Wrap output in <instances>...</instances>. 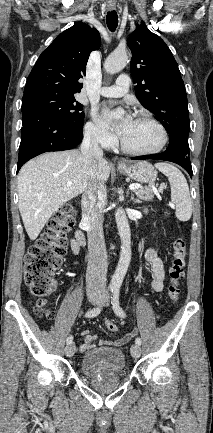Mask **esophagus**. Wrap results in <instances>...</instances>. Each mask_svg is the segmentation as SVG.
Listing matches in <instances>:
<instances>
[{
  "label": "esophagus",
  "mask_w": 213,
  "mask_h": 433,
  "mask_svg": "<svg viewBox=\"0 0 213 433\" xmlns=\"http://www.w3.org/2000/svg\"><path fill=\"white\" fill-rule=\"evenodd\" d=\"M108 9L109 10H114L115 9V5L114 4H109L108 5ZM118 166H123L124 165V163L122 162V161H118Z\"/></svg>",
  "instance_id": "esophagus-1"
}]
</instances>
